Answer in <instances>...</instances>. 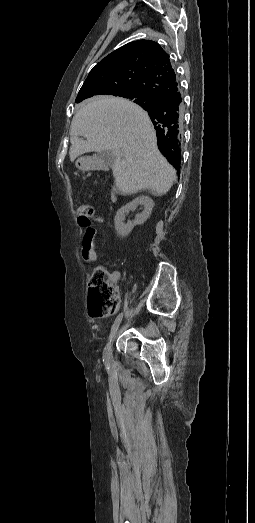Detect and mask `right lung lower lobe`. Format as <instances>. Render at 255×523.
I'll return each mask as SVG.
<instances>
[{"label": "right lung lower lobe", "mask_w": 255, "mask_h": 523, "mask_svg": "<svg viewBox=\"0 0 255 523\" xmlns=\"http://www.w3.org/2000/svg\"><path fill=\"white\" fill-rule=\"evenodd\" d=\"M180 110L181 103L178 100L161 102L150 110V117L155 120L157 129L154 139L165 145V151L168 154H173L180 149L179 141H171V137H176L179 134L176 113ZM166 129H168V132H166Z\"/></svg>", "instance_id": "1"}]
</instances>
